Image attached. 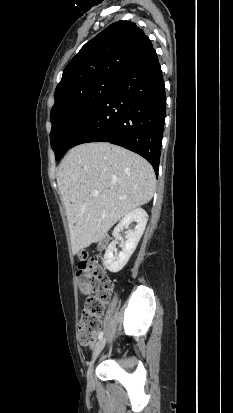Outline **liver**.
Returning <instances> with one entry per match:
<instances>
[{
    "mask_svg": "<svg viewBox=\"0 0 233 413\" xmlns=\"http://www.w3.org/2000/svg\"><path fill=\"white\" fill-rule=\"evenodd\" d=\"M57 183L74 254L101 240L118 220L148 203L156 187L147 160L107 142L69 150L59 165Z\"/></svg>",
    "mask_w": 233,
    "mask_h": 413,
    "instance_id": "1",
    "label": "liver"
}]
</instances>
